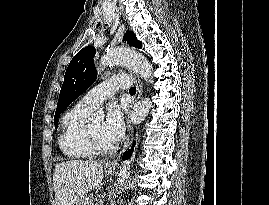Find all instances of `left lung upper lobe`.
<instances>
[{"mask_svg": "<svg viewBox=\"0 0 269 205\" xmlns=\"http://www.w3.org/2000/svg\"><path fill=\"white\" fill-rule=\"evenodd\" d=\"M124 41L130 46L141 48L142 43L137 40L132 31H127ZM94 47H86L80 50L71 60L60 91V96L54 116L55 127L58 126L60 114L96 80L97 71L94 66Z\"/></svg>", "mask_w": 269, "mask_h": 205, "instance_id": "left-lung-upper-lobe-1", "label": "left lung upper lobe"}]
</instances>
